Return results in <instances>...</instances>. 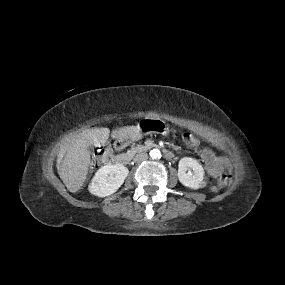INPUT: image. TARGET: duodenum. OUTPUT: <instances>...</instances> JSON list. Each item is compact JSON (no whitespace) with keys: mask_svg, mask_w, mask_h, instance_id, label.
I'll use <instances>...</instances> for the list:
<instances>
[{"mask_svg":"<svg viewBox=\"0 0 285 285\" xmlns=\"http://www.w3.org/2000/svg\"><path fill=\"white\" fill-rule=\"evenodd\" d=\"M126 143H127V140L122 139V140H118L116 142V145L117 147H120V146L125 145ZM163 154L165 158L169 160L174 158V153L169 149H164ZM133 156H134V152L121 153L115 157V162L121 165H126L132 160Z\"/></svg>","mask_w":285,"mask_h":285,"instance_id":"obj_1","label":"duodenum"}]
</instances>
